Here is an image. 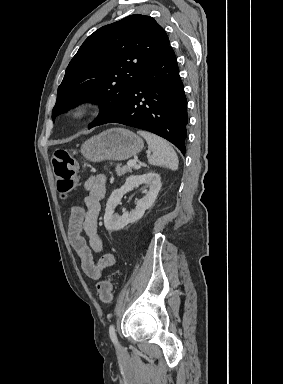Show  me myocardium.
<instances>
[{"instance_id": "obj_1", "label": "myocardium", "mask_w": 283, "mask_h": 384, "mask_svg": "<svg viewBox=\"0 0 283 384\" xmlns=\"http://www.w3.org/2000/svg\"><path fill=\"white\" fill-rule=\"evenodd\" d=\"M91 113V105L88 102L81 101L74 104L67 112V119L73 123H79L85 120Z\"/></svg>"}]
</instances>
